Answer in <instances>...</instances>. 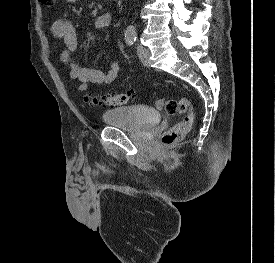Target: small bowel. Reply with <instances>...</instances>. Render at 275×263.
<instances>
[{"mask_svg": "<svg viewBox=\"0 0 275 263\" xmlns=\"http://www.w3.org/2000/svg\"><path fill=\"white\" fill-rule=\"evenodd\" d=\"M66 1L74 3L77 0ZM111 22L112 14L109 12L102 13L95 17L94 27L96 29H106L111 25ZM51 31L65 46V50L60 55V61L69 70L70 78L79 82L80 90H88L92 85H106L117 78L121 71V65L118 61H111L106 72L97 68L81 66L73 61V53L78 48V37L70 19H57L52 24Z\"/></svg>", "mask_w": 275, "mask_h": 263, "instance_id": "c3829d8e", "label": "small bowel"}]
</instances>
